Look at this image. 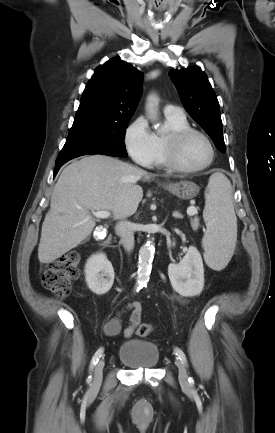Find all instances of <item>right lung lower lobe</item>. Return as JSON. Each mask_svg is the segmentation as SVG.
Returning a JSON list of instances; mask_svg holds the SVG:
<instances>
[{"mask_svg": "<svg viewBox=\"0 0 275 433\" xmlns=\"http://www.w3.org/2000/svg\"><path fill=\"white\" fill-rule=\"evenodd\" d=\"M109 156H111V155H109ZM67 161H69V160H66V161H62V162L56 163V167H55V171H54V177H55V175L57 174V172H58V170L60 169V167H61L63 164H65Z\"/></svg>", "mask_w": 275, "mask_h": 433, "instance_id": "obj_1", "label": "right lung lower lobe"}]
</instances>
